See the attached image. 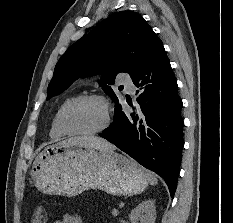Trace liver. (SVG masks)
<instances>
[{
    "label": "liver",
    "mask_w": 233,
    "mask_h": 223,
    "mask_svg": "<svg viewBox=\"0 0 233 223\" xmlns=\"http://www.w3.org/2000/svg\"><path fill=\"white\" fill-rule=\"evenodd\" d=\"M67 143H74L79 147H95V149H103V151H114L115 145L109 143L107 139L103 137H97V135H80V137H70L67 139Z\"/></svg>",
    "instance_id": "6515ba94"
}]
</instances>
